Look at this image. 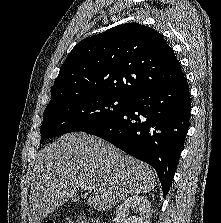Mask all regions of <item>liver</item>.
I'll return each mask as SVG.
<instances>
[{
    "mask_svg": "<svg viewBox=\"0 0 221 223\" xmlns=\"http://www.w3.org/2000/svg\"><path fill=\"white\" fill-rule=\"evenodd\" d=\"M82 182L93 192L87 204L105 211L130 195L153 190L156 173L149 165L96 136L84 132L63 135L37 156L29 223H40L72 199Z\"/></svg>",
    "mask_w": 221,
    "mask_h": 223,
    "instance_id": "6515ba94",
    "label": "liver"
}]
</instances>
